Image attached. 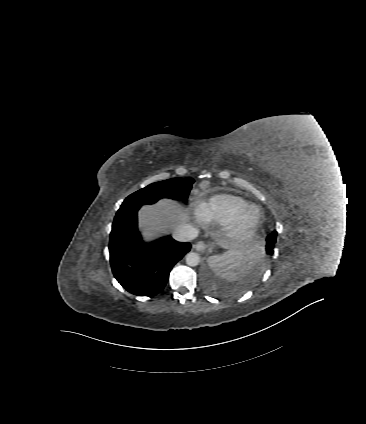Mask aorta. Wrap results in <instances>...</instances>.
Returning a JSON list of instances; mask_svg holds the SVG:
<instances>
[{
	"label": "aorta",
	"instance_id": "aorta-1",
	"mask_svg": "<svg viewBox=\"0 0 366 424\" xmlns=\"http://www.w3.org/2000/svg\"><path fill=\"white\" fill-rule=\"evenodd\" d=\"M199 262H200V256L198 253L189 252L186 255V264L188 266H191V267L197 266Z\"/></svg>",
	"mask_w": 366,
	"mask_h": 424
}]
</instances>
